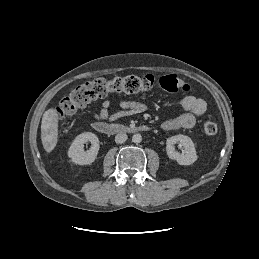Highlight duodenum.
I'll use <instances>...</instances> for the list:
<instances>
[{"label":"duodenum","mask_w":259,"mask_h":259,"mask_svg":"<svg viewBox=\"0 0 259 259\" xmlns=\"http://www.w3.org/2000/svg\"><path fill=\"white\" fill-rule=\"evenodd\" d=\"M93 128L102 134L139 133L149 130V127L146 125L124 126L105 122H95Z\"/></svg>","instance_id":"1"}]
</instances>
